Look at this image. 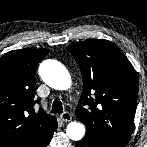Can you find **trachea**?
<instances>
[{"label":"trachea","instance_id":"3493384b","mask_svg":"<svg viewBox=\"0 0 147 147\" xmlns=\"http://www.w3.org/2000/svg\"><path fill=\"white\" fill-rule=\"evenodd\" d=\"M63 112V106L62 102L59 99H55L52 105L51 113H62Z\"/></svg>","mask_w":147,"mask_h":147}]
</instances>
